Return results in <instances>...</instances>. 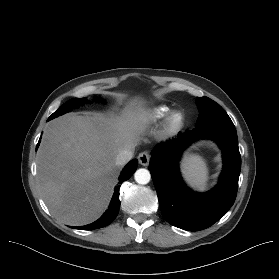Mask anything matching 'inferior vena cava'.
I'll use <instances>...</instances> for the list:
<instances>
[{
	"label": "inferior vena cava",
	"mask_w": 279,
	"mask_h": 279,
	"mask_svg": "<svg viewBox=\"0 0 279 279\" xmlns=\"http://www.w3.org/2000/svg\"><path fill=\"white\" fill-rule=\"evenodd\" d=\"M134 155V149H124L120 151L116 157L115 163L117 166H123L128 163Z\"/></svg>",
	"instance_id": "obj_1"
}]
</instances>
